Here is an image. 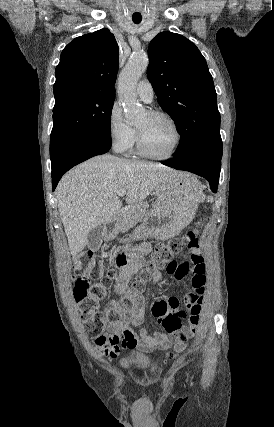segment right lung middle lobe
<instances>
[{
  "label": "right lung middle lobe",
  "mask_w": 274,
  "mask_h": 427,
  "mask_svg": "<svg viewBox=\"0 0 274 427\" xmlns=\"http://www.w3.org/2000/svg\"><path fill=\"white\" fill-rule=\"evenodd\" d=\"M114 95L67 97L55 104L50 136V158L64 148L89 137L111 138Z\"/></svg>",
  "instance_id": "1"
}]
</instances>
